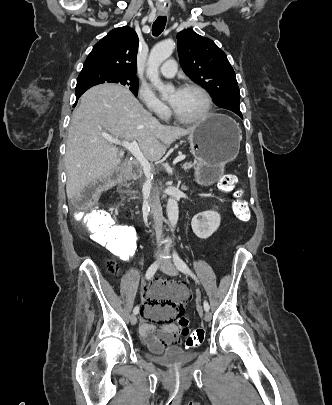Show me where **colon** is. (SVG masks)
Listing matches in <instances>:
<instances>
[{
  "mask_svg": "<svg viewBox=\"0 0 332 405\" xmlns=\"http://www.w3.org/2000/svg\"><path fill=\"white\" fill-rule=\"evenodd\" d=\"M110 175L104 176L98 181L87 186L81 193L73 199L75 212L72 220L77 227H83L91 233L96 242L106 243V256H127L133 259L137 250V232L128 231L129 226L119 225L112 215L103 209L87 210L86 206L91 203L102 191L110 185ZM238 178L234 174H226L219 180V187L226 192H233L235 200L233 202V213L237 219L248 221L250 211L247 201L243 198V192L237 189ZM122 231H117V228ZM121 262L125 261L124 257L120 258ZM109 267L113 273L117 271V263L109 262ZM169 288H185L180 285H171ZM182 312V311H176ZM174 323L179 325L180 338L183 339V346L188 351H199L200 343L204 339V334L209 333L208 325H196L194 330H189L193 325L194 318L189 310H184L174 318Z\"/></svg>",
  "mask_w": 332,
  "mask_h": 405,
  "instance_id": "5ec220e1",
  "label": "colon"
}]
</instances>
